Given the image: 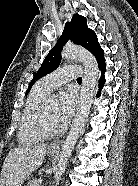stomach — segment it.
Segmentation results:
<instances>
[{
    "instance_id": "stomach-1",
    "label": "stomach",
    "mask_w": 138,
    "mask_h": 186,
    "mask_svg": "<svg viewBox=\"0 0 138 186\" xmlns=\"http://www.w3.org/2000/svg\"><path fill=\"white\" fill-rule=\"evenodd\" d=\"M56 153H57L56 150L48 149V154H49L50 156H54V155H56Z\"/></svg>"
}]
</instances>
